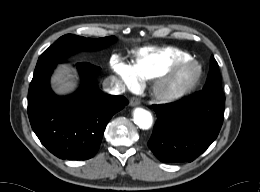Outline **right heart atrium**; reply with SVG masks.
Here are the masks:
<instances>
[{
    "label": "right heart atrium",
    "mask_w": 260,
    "mask_h": 192,
    "mask_svg": "<svg viewBox=\"0 0 260 192\" xmlns=\"http://www.w3.org/2000/svg\"><path fill=\"white\" fill-rule=\"evenodd\" d=\"M110 66L124 86L133 88L139 84V77L133 66L122 61L118 56L112 57Z\"/></svg>",
    "instance_id": "obj_1"
}]
</instances>
